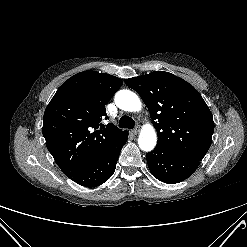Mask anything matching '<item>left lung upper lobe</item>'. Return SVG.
Segmentation results:
<instances>
[{
	"instance_id": "obj_1",
	"label": "left lung upper lobe",
	"mask_w": 247,
	"mask_h": 247,
	"mask_svg": "<svg viewBox=\"0 0 247 247\" xmlns=\"http://www.w3.org/2000/svg\"><path fill=\"white\" fill-rule=\"evenodd\" d=\"M148 107L158 143L171 152L202 160L214 132L212 113L199 92L183 79L164 71L129 78Z\"/></svg>"
}]
</instances>
